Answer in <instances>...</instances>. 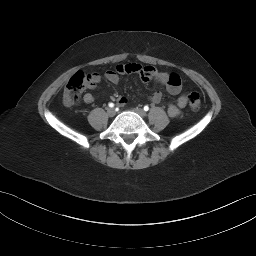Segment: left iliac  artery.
Masks as SVG:
<instances>
[{
	"label": "left iliac artery",
	"instance_id": "1",
	"mask_svg": "<svg viewBox=\"0 0 256 256\" xmlns=\"http://www.w3.org/2000/svg\"><path fill=\"white\" fill-rule=\"evenodd\" d=\"M148 110H149L148 105L144 106V111H148Z\"/></svg>",
	"mask_w": 256,
	"mask_h": 256
}]
</instances>
